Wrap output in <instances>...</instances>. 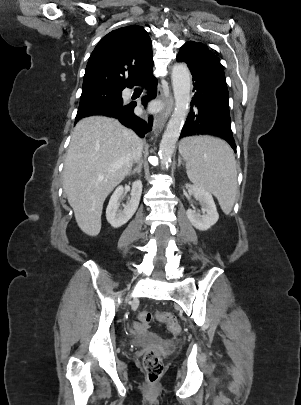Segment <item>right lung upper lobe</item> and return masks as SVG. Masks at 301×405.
<instances>
[{
  "label": "right lung upper lobe",
  "instance_id": "obj_1",
  "mask_svg": "<svg viewBox=\"0 0 301 405\" xmlns=\"http://www.w3.org/2000/svg\"><path fill=\"white\" fill-rule=\"evenodd\" d=\"M152 68V43L144 27H122L104 36L93 50L82 90L132 88Z\"/></svg>",
  "mask_w": 301,
  "mask_h": 405
}]
</instances>
